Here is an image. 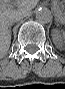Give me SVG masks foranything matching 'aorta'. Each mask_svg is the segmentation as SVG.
I'll use <instances>...</instances> for the list:
<instances>
[{
	"mask_svg": "<svg viewBox=\"0 0 65 89\" xmlns=\"http://www.w3.org/2000/svg\"><path fill=\"white\" fill-rule=\"evenodd\" d=\"M35 18L41 24H48L52 20V13L47 7H39L35 11Z\"/></svg>",
	"mask_w": 65,
	"mask_h": 89,
	"instance_id": "762f6f07",
	"label": "aorta"
}]
</instances>
